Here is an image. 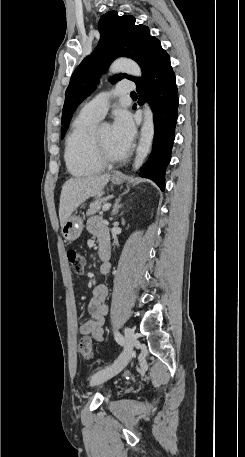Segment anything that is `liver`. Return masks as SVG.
<instances>
[{
  "mask_svg": "<svg viewBox=\"0 0 245 457\" xmlns=\"http://www.w3.org/2000/svg\"><path fill=\"white\" fill-rule=\"evenodd\" d=\"M109 178L110 174H93V176H86V178H69L66 180L62 186L59 204L61 226L86 198L100 194Z\"/></svg>",
  "mask_w": 245,
  "mask_h": 457,
  "instance_id": "6515ba94",
  "label": "liver"
}]
</instances>
